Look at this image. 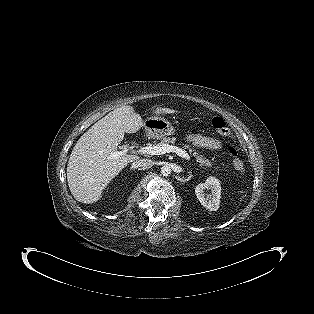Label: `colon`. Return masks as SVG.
<instances>
[{
    "instance_id": "1",
    "label": "colon",
    "mask_w": 314,
    "mask_h": 314,
    "mask_svg": "<svg viewBox=\"0 0 314 314\" xmlns=\"http://www.w3.org/2000/svg\"><path fill=\"white\" fill-rule=\"evenodd\" d=\"M212 129L216 132V134L228 138L230 136V131L227 126V123L224 119L219 116H214L211 120ZM228 155L231 159V164L233 168L239 172H243L245 170V163L242 158L238 156L236 149L232 146L228 147Z\"/></svg>"
}]
</instances>
